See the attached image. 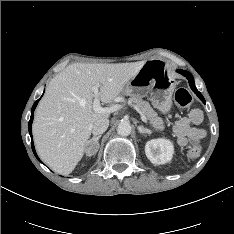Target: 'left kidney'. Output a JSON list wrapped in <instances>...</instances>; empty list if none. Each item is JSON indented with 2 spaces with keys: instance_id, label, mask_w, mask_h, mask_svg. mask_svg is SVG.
<instances>
[{
  "instance_id": "obj_1",
  "label": "left kidney",
  "mask_w": 234,
  "mask_h": 234,
  "mask_svg": "<svg viewBox=\"0 0 234 234\" xmlns=\"http://www.w3.org/2000/svg\"><path fill=\"white\" fill-rule=\"evenodd\" d=\"M145 153L153 164H165L172 159L174 146L172 142L167 139H152L146 142Z\"/></svg>"
}]
</instances>
